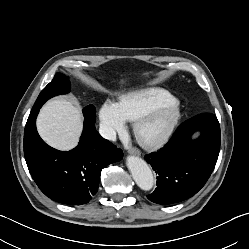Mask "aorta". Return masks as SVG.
<instances>
[{"mask_svg":"<svg viewBox=\"0 0 249 249\" xmlns=\"http://www.w3.org/2000/svg\"><path fill=\"white\" fill-rule=\"evenodd\" d=\"M127 167L139 188L149 191L154 186V177L148 164L138 156H128Z\"/></svg>","mask_w":249,"mask_h":249,"instance_id":"obj_1","label":"aorta"}]
</instances>
